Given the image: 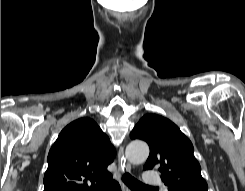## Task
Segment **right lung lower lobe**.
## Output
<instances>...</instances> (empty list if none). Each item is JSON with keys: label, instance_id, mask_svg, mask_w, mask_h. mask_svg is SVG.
Wrapping results in <instances>:
<instances>
[{"label": "right lung lower lobe", "instance_id": "obj_1", "mask_svg": "<svg viewBox=\"0 0 245 191\" xmlns=\"http://www.w3.org/2000/svg\"><path fill=\"white\" fill-rule=\"evenodd\" d=\"M99 191H121V189L119 184L113 181L104 188H101Z\"/></svg>", "mask_w": 245, "mask_h": 191}]
</instances>
